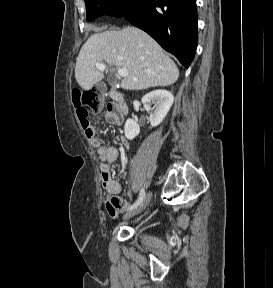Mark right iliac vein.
Here are the masks:
<instances>
[{
    "label": "right iliac vein",
    "mask_w": 273,
    "mask_h": 288,
    "mask_svg": "<svg viewBox=\"0 0 273 288\" xmlns=\"http://www.w3.org/2000/svg\"><path fill=\"white\" fill-rule=\"evenodd\" d=\"M151 197H152V193L149 192L146 197L143 199V201L134 209H132L131 211L127 212L123 219L124 220H127L139 213H141L149 204L150 200H151Z\"/></svg>",
    "instance_id": "1"
}]
</instances>
